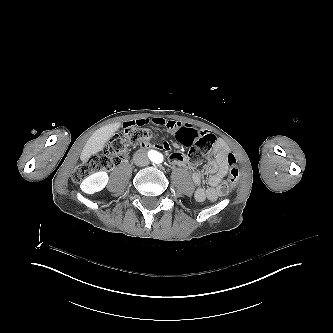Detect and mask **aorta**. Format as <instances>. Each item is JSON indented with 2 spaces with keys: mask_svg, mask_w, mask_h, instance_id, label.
<instances>
[{
  "mask_svg": "<svg viewBox=\"0 0 333 333\" xmlns=\"http://www.w3.org/2000/svg\"><path fill=\"white\" fill-rule=\"evenodd\" d=\"M151 160L156 164H161L164 161V156L160 152L154 151L151 156Z\"/></svg>",
  "mask_w": 333,
  "mask_h": 333,
  "instance_id": "obj_1",
  "label": "aorta"
}]
</instances>
